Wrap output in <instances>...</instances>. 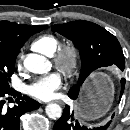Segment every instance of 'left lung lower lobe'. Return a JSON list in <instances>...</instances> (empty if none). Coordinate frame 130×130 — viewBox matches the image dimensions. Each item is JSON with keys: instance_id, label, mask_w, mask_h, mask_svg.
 I'll return each mask as SVG.
<instances>
[{"instance_id": "left-lung-lower-lobe-1", "label": "left lung lower lobe", "mask_w": 130, "mask_h": 130, "mask_svg": "<svg viewBox=\"0 0 130 130\" xmlns=\"http://www.w3.org/2000/svg\"><path fill=\"white\" fill-rule=\"evenodd\" d=\"M119 67V66H118ZM122 71L124 68L119 67ZM121 85L125 86V79L122 78ZM68 96L71 99H76V95L68 94ZM114 117V114L112 115V118ZM109 121L106 125L101 127H94V128H88L86 126H82L79 124L78 120H75L74 118V112L70 110V106L66 105V107L63 110V114L59 120L55 123L53 130H106L108 126L110 125Z\"/></svg>"}]
</instances>
